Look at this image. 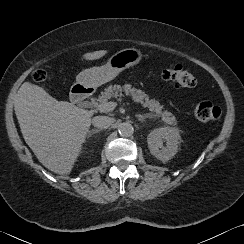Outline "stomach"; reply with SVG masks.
Masks as SVG:
<instances>
[{"label":"stomach","instance_id":"obj_1","mask_svg":"<svg viewBox=\"0 0 244 244\" xmlns=\"http://www.w3.org/2000/svg\"><path fill=\"white\" fill-rule=\"evenodd\" d=\"M142 59L143 54L139 49H122L114 53L105 65L81 71L76 77L74 86L97 88L113 80L122 71L137 65Z\"/></svg>","mask_w":244,"mask_h":244}]
</instances>
